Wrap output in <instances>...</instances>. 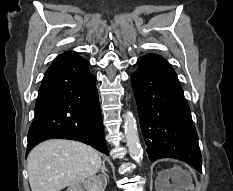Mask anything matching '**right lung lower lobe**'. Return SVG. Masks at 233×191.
<instances>
[{"mask_svg":"<svg viewBox=\"0 0 233 191\" xmlns=\"http://www.w3.org/2000/svg\"><path fill=\"white\" fill-rule=\"evenodd\" d=\"M88 65L79 55L64 56L48 68L35 103L26 157L35 145L54 138L77 140L109 155L96 77Z\"/></svg>","mask_w":233,"mask_h":191,"instance_id":"right-lung-lower-lobe-1","label":"right lung lower lobe"}]
</instances>
